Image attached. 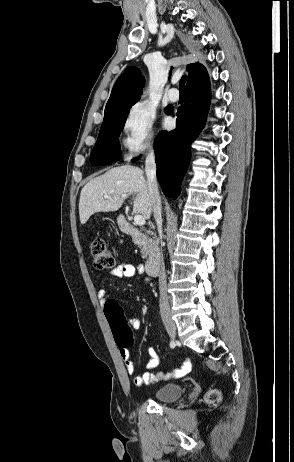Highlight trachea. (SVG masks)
I'll return each instance as SVG.
<instances>
[{
    "instance_id": "1",
    "label": "trachea",
    "mask_w": 294,
    "mask_h": 462,
    "mask_svg": "<svg viewBox=\"0 0 294 462\" xmlns=\"http://www.w3.org/2000/svg\"><path fill=\"white\" fill-rule=\"evenodd\" d=\"M186 80H187V76L186 75H183L181 80H180V86H179V90L180 91H184L185 92V83H186Z\"/></svg>"
}]
</instances>
